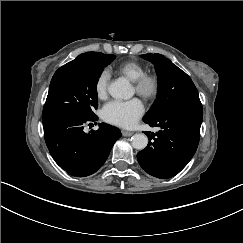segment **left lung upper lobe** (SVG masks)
<instances>
[{
    "instance_id": "1",
    "label": "left lung upper lobe",
    "mask_w": 243,
    "mask_h": 243,
    "mask_svg": "<svg viewBox=\"0 0 243 243\" xmlns=\"http://www.w3.org/2000/svg\"><path fill=\"white\" fill-rule=\"evenodd\" d=\"M142 57L154 64L158 77L157 98L143 118L145 123L156 120L178 104L201 103L191 78L169 59L156 53L144 54Z\"/></svg>"
}]
</instances>
